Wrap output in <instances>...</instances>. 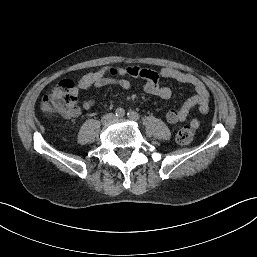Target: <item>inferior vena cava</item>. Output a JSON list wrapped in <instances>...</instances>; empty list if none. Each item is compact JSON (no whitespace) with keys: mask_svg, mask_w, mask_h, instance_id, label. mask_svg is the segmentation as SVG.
I'll return each mask as SVG.
<instances>
[{"mask_svg":"<svg viewBox=\"0 0 257 257\" xmlns=\"http://www.w3.org/2000/svg\"><path fill=\"white\" fill-rule=\"evenodd\" d=\"M114 117H115L114 114L109 113V114L105 115L102 119L104 122H106L107 120L113 119Z\"/></svg>","mask_w":257,"mask_h":257,"instance_id":"inferior-vena-cava-1","label":"inferior vena cava"}]
</instances>
